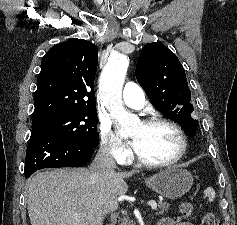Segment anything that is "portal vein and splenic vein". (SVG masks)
<instances>
[{
	"label": "portal vein and splenic vein",
	"mask_w": 237,
	"mask_h": 225,
	"mask_svg": "<svg viewBox=\"0 0 237 225\" xmlns=\"http://www.w3.org/2000/svg\"><path fill=\"white\" fill-rule=\"evenodd\" d=\"M147 204L151 207L152 210H155L157 208V203L153 200L149 201ZM122 214H126V211H122Z\"/></svg>",
	"instance_id": "obj_1"
}]
</instances>
